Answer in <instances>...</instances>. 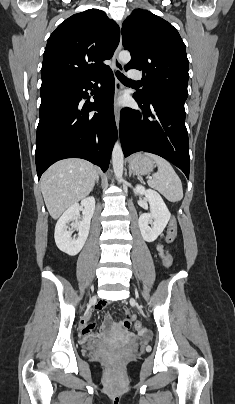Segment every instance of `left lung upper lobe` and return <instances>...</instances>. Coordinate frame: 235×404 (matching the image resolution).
<instances>
[{
  "label": "left lung upper lobe",
  "mask_w": 235,
  "mask_h": 404,
  "mask_svg": "<svg viewBox=\"0 0 235 404\" xmlns=\"http://www.w3.org/2000/svg\"><path fill=\"white\" fill-rule=\"evenodd\" d=\"M124 49L131 61L125 70L138 69L145 75L143 91L135 93L148 100L159 96L187 99L188 59L178 31L153 13L136 9L122 25Z\"/></svg>",
  "instance_id": "1"
}]
</instances>
